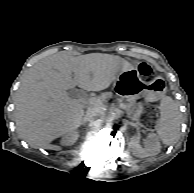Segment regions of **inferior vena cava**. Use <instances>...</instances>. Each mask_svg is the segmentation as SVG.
Listing matches in <instances>:
<instances>
[{"mask_svg":"<svg viewBox=\"0 0 194 193\" xmlns=\"http://www.w3.org/2000/svg\"><path fill=\"white\" fill-rule=\"evenodd\" d=\"M100 111L97 109V108H89L87 111H86V114H85V120H90L94 117H96L97 115H99Z\"/></svg>","mask_w":194,"mask_h":193,"instance_id":"1","label":"inferior vena cava"}]
</instances>
